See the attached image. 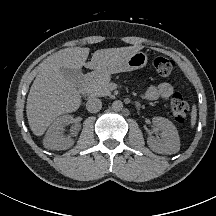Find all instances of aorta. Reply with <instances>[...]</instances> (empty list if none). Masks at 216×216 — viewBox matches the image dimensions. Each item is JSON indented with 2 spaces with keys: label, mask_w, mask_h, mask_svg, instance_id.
<instances>
[{
  "label": "aorta",
  "mask_w": 216,
  "mask_h": 216,
  "mask_svg": "<svg viewBox=\"0 0 216 216\" xmlns=\"http://www.w3.org/2000/svg\"><path fill=\"white\" fill-rule=\"evenodd\" d=\"M112 109L114 111H121L123 109V103L120 100H116L112 103Z\"/></svg>",
  "instance_id": "aorta-1"
}]
</instances>
